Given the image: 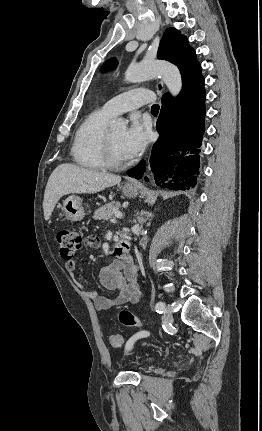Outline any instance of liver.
Instances as JSON below:
<instances>
[{
	"label": "liver",
	"mask_w": 262,
	"mask_h": 431,
	"mask_svg": "<svg viewBox=\"0 0 262 431\" xmlns=\"http://www.w3.org/2000/svg\"><path fill=\"white\" fill-rule=\"evenodd\" d=\"M121 177L105 172L89 170L77 165L63 163L50 175L44 193V219L49 220L56 203L67 194H94L119 184Z\"/></svg>",
	"instance_id": "liver-1"
}]
</instances>
